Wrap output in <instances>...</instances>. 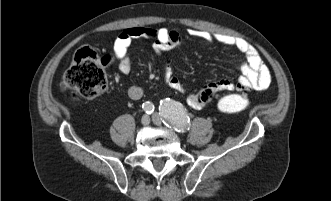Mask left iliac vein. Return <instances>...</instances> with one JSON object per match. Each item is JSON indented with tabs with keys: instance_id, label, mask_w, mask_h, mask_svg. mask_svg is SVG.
<instances>
[{
	"instance_id": "obj_1",
	"label": "left iliac vein",
	"mask_w": 331,
	"mask_h": 201,
	"mask_svg": "<svg viewBox=\"0 0 331 201\" xmlns=\"http://www.w3.org/2000/svg\"><path fill=\"white\" fill-rule=\"evenodd\" d=\"M153 120L156 122H160V116L157 113L153 114Z\"/></svg>"
}]
</instances>
